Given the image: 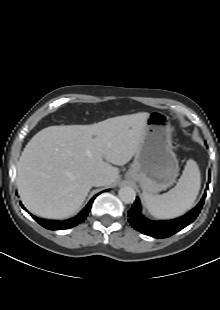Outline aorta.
<instances>
[{
	"instance_id": "aorta-1",
	"label": "aorta",
	"mask_w": 220,
	"mask_h": 310,
	"mask_svg": "<svg viewBox=\"0 0 220 310\" xmlns=\"http://www.w3.org/2000/svg\"><path fill=\"white\" fill-rule=\"evenodd\" d=\"M118 194H119L120 199L126 204L133 203L136 198L135 190L129 186L120 188Z\"/></svg>"
}]
</instances>
